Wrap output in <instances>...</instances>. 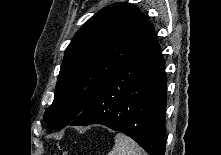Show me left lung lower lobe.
<instances>
[{
    "label": "left lung lower lobe",
    "instance_id": "0a47b994",
    "mask_svg": "<svg viewBox=\"0 0 221 155\" xmlns=\"http://www.w3.org/2000/svg\"><path fill=\"white\" fill-rule=\"evenodd\" d=\"M165 61L155 32L104 82L69 125L102 124L133 138L150 155L165 153Z\"/></svg>",
    "mask_w": 221,
    "mask_h": 155
}]
</instances>
